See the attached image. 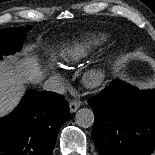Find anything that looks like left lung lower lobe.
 <instances>
[{"instance_id":"left-lung-lower-lobe-1","label":"left lung lower lobe","mask_w":155,"mask_h":155,"mask_svg":"<svg viewBox=\"0 0 155 155\" xmlns=\"http://www.w3.org/2000/svg\"><path fill=\"white\" fill-rule=\"evenodd\" d=\"M92 139L101 155H149L155 149V89L141 92L119 79L92 97Z\"/></svg>"}]
</instances>
